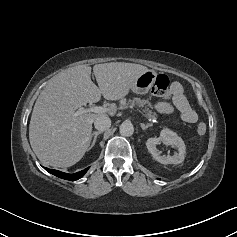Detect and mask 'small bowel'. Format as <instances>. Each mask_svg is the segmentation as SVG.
I'll list each match as a JSON object with an SVG mask.
<instances>
[{"instance_id":"1","label":"small bowel","mask_w":237,"mask_h":237,"mask_svg":"<svg viewBox=\"0 0 237 237\" xmlns=\"http://www.w3.org/2000/svg\"><path fill=\"white\" fill-rule=\"evenodd\" d=\"M172 103L159 102L155 109L159 113L169 114L177 110L181 119L187 123H195L198 119L196 111L191 107L183 93V87L180 83L174 82L171 87Z\"/></svg>"}]
</instances>
